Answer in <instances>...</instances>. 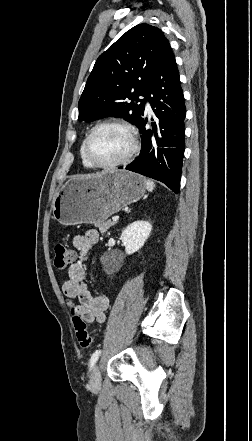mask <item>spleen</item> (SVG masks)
Here are the masks:
<instances>
[{"label":"spleen","mask_w":252,"mask_h":441,"mask_svg":"<svg viewBox=\"0 0 252 441\" xmlns=\"http://www.w3.org/2000/svg\"><path fill=\"white\" fill-rule=\"evenodd\" d=\"M154 188H155V183L152 180L147 179L146 180V189L149 192H152L154 190Z\"/></svg>","instance_id":"spleen-1"}]
</instances>
